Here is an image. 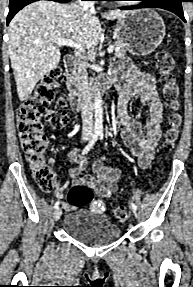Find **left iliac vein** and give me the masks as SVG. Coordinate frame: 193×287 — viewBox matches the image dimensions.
Segmentation results:
<instances>
[{
    "instance_id": "obj_1",
    "label": "left iliac vein",
    "mask_w": 193,
    "mask_h": 287,
    "mask_svg": "<svg viewBox=\"0 0 193 287\" xmlns=\"http://www.w3.org/2000/svg\"><path fill=\"white\" fill-rule=\"evenodd\" d=\"M133 215L137 217V211L133 209Z\"/></svg>"
}]
</instances>
